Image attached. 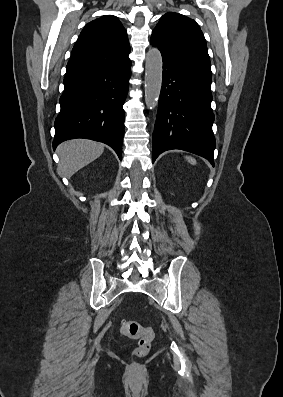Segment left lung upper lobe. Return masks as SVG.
<instances>
[{
  "instance_id": "left-lung-upper-lobe-1",
  "label": "left lung upper lobe",
  "mask_w": 283,
  "mask_h": 397,
  "mask_svg": "<svg viewBox=\"0 0 283 397\" xmlns=\"http://www.w3.org/2000/svg\"><path fill=\"white\" fill-rule=\"evenodd\" d=\"M150 43L159 48L163 58L211 83L206 40L193 19L178 13H166L152 31Z\"/></svg>"
}]
</instances>
